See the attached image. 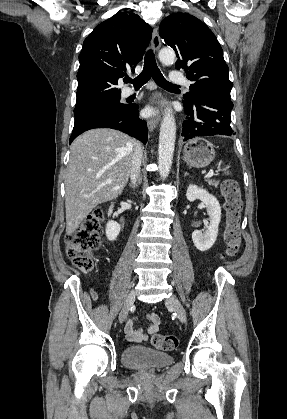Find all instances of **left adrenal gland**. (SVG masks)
Instances as JSON below:
<instances>
[{"instance_id": "obj_1", "label": "left adrenal gland", "mask_w": 287, "mask_h": 419, "mask_svg": "<svg viewBox=\"0 0 287 419\" xmlns=\"http://www.w3.org/2000/svg\"><path fill=\"white\" fill-rule=\"evenodd\" d=\"M188 175V173L186 172L185 174H184V176H187Z\"/></svg>"}]
</instances>
